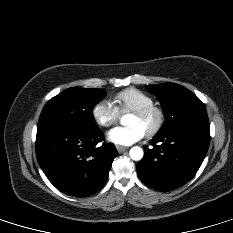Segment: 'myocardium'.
<instances>
[{
  "mask_svg": "<svg viewBox=\"0 0 233 233\" xmlns=\"http://www.w3.org/2000/svg\"><path fill=\"white\" fill-rule=\"evenodd\" d=\"M132 114L145 118L151 115L155 116V123L154 125L146 132V135L148 137L155 136L160 132L162 129L164 122H165V112L162 107L156 105V104H151L136 110L132 111Z\"/></svg>",
  "mask_w": 233,
  "mask_h": 233,
  "instance_id": "f54148a6",
  "label": "myocardium"
}]
</instances>
